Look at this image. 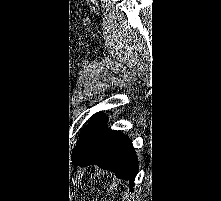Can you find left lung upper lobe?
<instances>
[{
	"label": "left lung upper lobe",
	"instance_id": "obj_1",
	"mask_svg": "<svg viewBox=\"0 0 221 201\" xmlns=\"http://www.w3.org/2000/svg\"><path fill=\"white\" fill-rule=\"evenodd\" d=\"M105 117L102 112L95 113L88 124L84 127L83 131L80 133L79 140L75 149L73 150V155L80 152L82 149L87 147L93 140L95 134L97 133L100 125L102 124Z\"/></svg>",
	"mask_w": 221,
	"mask_h": 201
}]
</instances>
